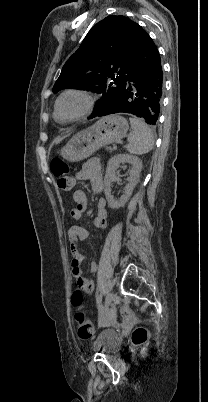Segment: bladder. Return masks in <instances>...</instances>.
Segmentation results:
<instances>
[{
	"mask_svg": "<svg viewBox=\"0 0 208 402\" xmlns=\"http://www.w3.org/2000/svg\"><path fill=\"white\" fill-rule=\"evenodd\" d=\"M121 345V339L118 334L112 330H102L93 341V346L98 351L114 352Z\"/></svg>",
	"mask_w": 208,
	"mask_h": 402,
	"instance_id": "bladder-1",
	"label": "bladder"
}]
</instances>
